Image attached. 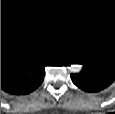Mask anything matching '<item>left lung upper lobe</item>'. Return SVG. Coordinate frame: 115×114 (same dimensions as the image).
<instances>
[{"instance_id":"1","label":"left lung upper lobe","mask_w":115,"mask_h":114,"mask_svg":"<svg viewBox=\"0 0 115 114\" xmlns=\"http://www.w3.org/2000/svg\"><path fill=\"white\" fill-rule=\"evenodd\" d=\"M81 62L99 65L115 72V34L101 39L97 47L82 58Z\"/></svg>"}]
</instances>
